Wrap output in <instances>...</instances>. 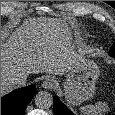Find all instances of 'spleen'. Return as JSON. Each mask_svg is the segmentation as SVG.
Returning <instances> with one entry per match:
<instances>
[{
	"instance_id": "spleen-1",
	"label": "spleen",
	"mask_w": 115,
	"mask_h": 115,
	"mask_svg": "<svg viewBox=\"0 0 115 115\" xmlns=\"http://www.w3.org/2000/svg\"><path fill=\"white\" fill-rule=\"evenodd\" d=\"M80 110L84 115H103L109 111V106L106 102H97L95 105L80 107Z\"/></svg>"
}]
</instances>
